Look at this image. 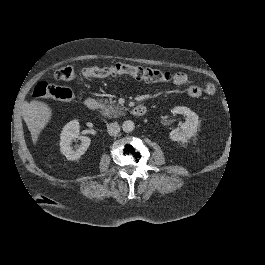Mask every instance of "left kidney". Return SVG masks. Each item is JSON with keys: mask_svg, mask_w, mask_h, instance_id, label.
<instances>
[{"mask_svg": "<svg viewBox=\"0 0 265 265\" xmlns=\"http://www.w3.org/2000/svg\"><path fill=\"white\" fill-rule=\"evenodd\" d=\"M173 114L185 115V122L182 124L183 131L178 133L177 130H172L170 133L171 141H177L182 144L188 142L189 139L197 132V127L199 124V117L196 113L192 112L186 107H176L171 110Z\"/></svg>", "mask_w": 265, "mask_h": 265, "instance_id": "obj_1", "label": "left kidney"}]
</instances>
